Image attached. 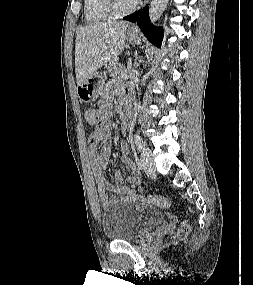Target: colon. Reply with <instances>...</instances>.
Returning <instances> with one entry per match:
<instances>
[{
	"mask_svg": "<svg viewBox=\"0 0 253 285\" xmlns=\"http://www.w3.org/2000/svg\"><path fill=\"white\" fill-rule=\"evenodd\" d=\"M85 119L91 125L96 124L98 120L96 110L94 109L87 110L85 112ZM139 200L146 204L162 208H167L171 204L170 200L167 197L158 196V195H141L139 197ZM189 231H190L189 226L187 224H182L176 233V237H184L189 233Z\"/></svg>",
	"mask_w": 253,
	"mask_h": 285,
	"instance_id": "1",
	"label": "colon"
}]
</instances>
